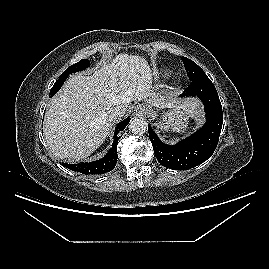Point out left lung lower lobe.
Listing matches in <instances>:
<instances>
[{"label": "left lung lower lobe", "instance_id": "0a47b994", "mask_svg": "<svg viewBox=\"0 0 269 269\" xmlns=\"http://www.w3.org/2000/svg\"><path fill=\"white\" fill-rule=\"evenodd\" d=\"M183 95L197 96L202 100L207 118L202 128L175 145H167L148 125L149 138L158 162L173 170L191 169L210 158L218 144L223 123L221 102L208 77L192 81Z\"/></svg>", "mask_w": 269, "mask_h": 269}]
</instances>
